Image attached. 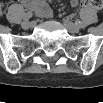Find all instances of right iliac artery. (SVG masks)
Masks as SVG:
<instances>
[{"label":"right iliac artery","mask_w":103,"mask_h":103,"mask_svg":"<svg viewBox=\"0 0 103 103\" xmlns=\"http://www.w3.org/2000/svg\"><path fill=\"white\" fill-rule=\"evenodd\" d=\"M32 16H33L32 12H27L26 14H24L23 19L24 20H29Z\"/></svg>","instance_id":"right-iliac-artery-1"}]
</instances>
